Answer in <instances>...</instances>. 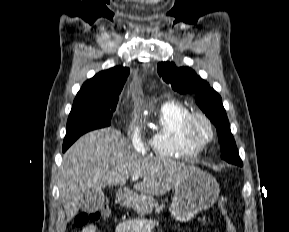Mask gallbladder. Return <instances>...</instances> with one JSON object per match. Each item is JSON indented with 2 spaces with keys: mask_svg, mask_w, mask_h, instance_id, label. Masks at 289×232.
I'll list each match as a JSON object with an SVG mask.
<instances>
[{
  "mask_svg": "<svg viewBox=\"0 0 289 232\" xmlns=\"http://www.w3.org/2000/svg\"><path fill=\"white\" fill-rule=\"evenodd\" d=\"M104 204V193L102 190L91 188L86 190L82 199V210L86 213L96 212L102 208Z\"/></svg>",
  "mask_w": 289,
  "mask_h": 232,
  "instance_id": "obj_1",
  "label": "gallbladder"
}]
</instances>
